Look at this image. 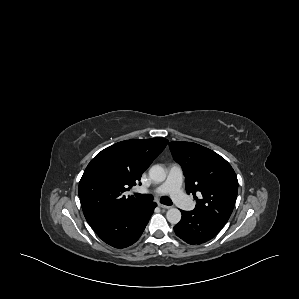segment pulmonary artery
<instances>
[{
  "label": "pulmonary artery",
  "instance_id": "1",
  "mask_svg": "<svg viewBox=\"0 0 299 299\" xmlns=\"http://www.w3.org/2000/svg\"><path fill=\"white\" fill-rule=\"evenodd\" d=\"M182 180V168L178 164H172L169 167L168 175L164 183L152 190L140 189L139 191L142 193H153L156 195L168 194L181 208L190 209L193 207V204L186 198L181 189Z\"/></svg>",
  "mask_w": 299,
  "mask_h": 299
}]
</instances>
